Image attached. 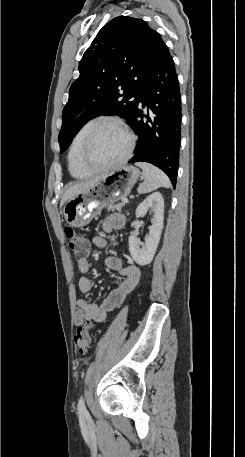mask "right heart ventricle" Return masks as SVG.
<instances>
[{"mask_svg": "<svg viewBox=\"0 0 245 457\" xmlns=\"http://www.w3.org/2000/svg\"><path fill=\"white\" fill-rule=\"evenodd\" d=\"M96 121L95 120H90L86 122L75 134L69 154H68V163H69V171L71 175L78 179V180H83L89 177V174L86 173L79 165L78 163V151L81 148L84 139L89 132V130L95 125Z\"/></svg>", "mask_w": 245, "mask_h": 457, "instance_id": "right-heart-ventricle-1", "label": "right heart ventricle"}]
</instances>
